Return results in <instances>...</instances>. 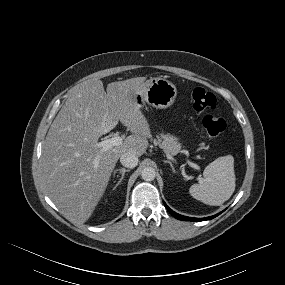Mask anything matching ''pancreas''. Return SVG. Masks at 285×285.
I'll list each match as a JSON object with an SVG mask.
<instances>
[{"label": "pancreas", "instance_id": "cf45deb5", "mask_svg": "<svg viewBox=\"0 0 285 285\" xmlns=\"http://www.w3.org/2000/svg\"><path fill=\"white\" fill-rule=\"evenodd\" d=\"M154 144L159 145L166 154L176 155L181 150V145L178 143L177 138L171 135L161 134L154 140Z\"/></svg>", "mask_w": 285, "mask_h": 285}]
</instances>
